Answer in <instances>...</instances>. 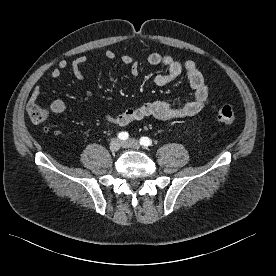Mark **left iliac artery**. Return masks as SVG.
<instances>
[{
  "label": "left iliac artery",
  "instance_id": "left-iliac-artery-1",
  "mask_svg": "<svg viewBox=\"0 0 276 276\" xmlns=\"http://www.w3.org/2000/svg\"><path fill=\"white\" fill-rule=\"evenodd\" d=\"M140 144L143 146V147H149L152 145V141L151 139H149L148 137H141L140 138Z\"/></svg>",
  "mask_w": 276,
  "mask_h": 276
}]
</instances>
